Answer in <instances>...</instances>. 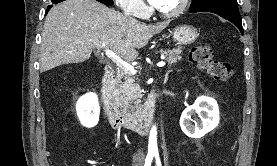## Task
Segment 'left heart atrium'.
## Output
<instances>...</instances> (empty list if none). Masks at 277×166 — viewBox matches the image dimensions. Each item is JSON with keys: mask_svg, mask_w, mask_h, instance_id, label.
Segmentation results:
<instances>
[{"mask_svg": "<svg viewBox=\"0 0 277 166\" xmlns=\"http://www.w3.org/2000/svg\"><path fill=\"white\" fill-rule=\"evenodd\" d=\"M149 3L155 7H159L162 4L163 0H148Z\"/></svg>", "mask_w": 277, "mask_h": 166, "instance_id": "obj_1", "label": "left heart atrium"}]
</instances>
